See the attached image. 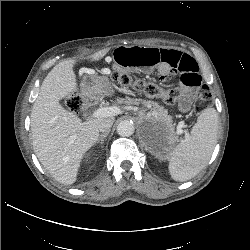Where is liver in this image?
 Returning a JSON list of instances; mask_svg holds the SVG:
<instances>
[{
    "mask_svg": "<svg viewBox=\"0 0 250 250\" xmlns=\"http://www.w3.org/2000/svg\"><path fill=\"white\" fill-rule=\"evenodd\" d=\"M107 52L108 49H103L89 58L99 61ZM76 61L64 60L48 73L31 112L34 152L50 175L64 185L76 182L85 153L99 137L98 125L107 118L82 122L77 115L59 104L61 99L77 92V79L73 71Z\"/></svg>",
    "mask_w": 250,
    "mask_h": 250,
    "instance_id": "liver-1",
    "label": "liver"
}]
</instances>
